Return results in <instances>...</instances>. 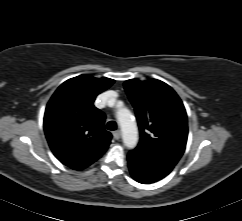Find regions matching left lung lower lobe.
Masks as SVG:
<instances>
[{
  "label": "left lung lower lobe",
  "mask_w": 242,
  "mask_h": 221,
  "mask_svg": "<svg viewBox=\"0 0 242 221\" xmlns=\"http://www.w3.org/2000/svg\"><path fill=\"white\" fill-rule=\"evenodd\" d=\"M175 165L148 153L132 150L128 154V167L132 177L142 183H153L168 175Z\"/></svg>",
  "instance_id": "0a47b994"
}]
</instances>
